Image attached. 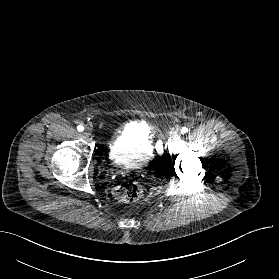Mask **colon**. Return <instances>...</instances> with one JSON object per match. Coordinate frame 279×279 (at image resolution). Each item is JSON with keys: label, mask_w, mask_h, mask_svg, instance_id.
I'll list each match as a JSON object with an SVG mask.
<instances>
[{"label": "colon", "mask_w": 279, "mask_h": 279, "mask_svg": "<svg viewBox=\"0 0 279 279\" xmlns=\"http://www.w3.org/2000/svg\"><path fill=\"white\" fill-rule=\"evenodd\" d=\"M145 188L138 181H126L114 189L116 199L121 202L131 203L138 201L144 194Z\"/></svg>", "instance_id": "1"}]
</instances>
